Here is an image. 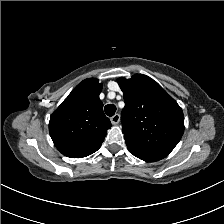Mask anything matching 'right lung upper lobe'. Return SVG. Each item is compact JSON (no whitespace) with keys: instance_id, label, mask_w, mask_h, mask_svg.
I'll return each instance as SVG.
<instances>
[{"instance_id":"cb5924a9","label":"right lung upper lobe","mask_w":224,"mask_h":224,"mask_svg":"<svg viewBox=\"0 0 224 224\" xmlns=\"http://www.w3.org/2000/svg\"><path fill=\"white\" fill-rule=\"evenodd\" d=\"M102 84L89 78L77 85L53 112L49 132L53 141L75 143L79 151L88 156L97 151L111 127L99 99Z\"/></svg>"}]
</instances>
